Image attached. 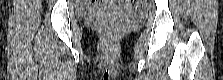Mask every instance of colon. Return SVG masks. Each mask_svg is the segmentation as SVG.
<instances>
[{"label":"colon","mask_w":223,"mask_h":80,"mask_svg":"<svg viewBox=\"0 0 223 80\" xmlns=\"http://www.w3.org/2000/svg\"><path fill=\"white\" fill-rule=\"evenodd\" d=\"M127 3L129 6L135 8V9H139L145 5V0H128ZM105 36H106L107 40L110 41V40H112L114 33L110 30H106Z\"/></svg>","instance_id":"1"}]
</instances>
